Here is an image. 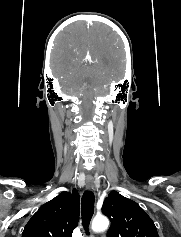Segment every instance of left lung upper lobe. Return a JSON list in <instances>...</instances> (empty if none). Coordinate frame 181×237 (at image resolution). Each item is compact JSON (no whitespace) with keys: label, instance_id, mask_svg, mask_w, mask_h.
<instances>
[{"label":"left lung upper lobe","instance_id":"5c2ea615","mask_svg":"<svg viewBox=\"0 0 181 237\" xmlns=\"http://www.w3.org/2000/svg\"><path fill=\"white\" fill-rule=\"evenodd\" d=\"M102 212L111 220L107 237H159L154 222L133 200L111 191Z\"/></svg>","mask_w":181,"mask_h":237}]
</instances>
